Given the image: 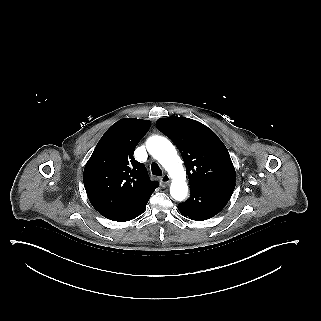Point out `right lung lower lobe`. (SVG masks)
Here are the masks:
<instances>
[{
  "label": "right lung lower lobe",
  "mask_w": 321,
  "mask_h": 321,
  "mask_svg": "<svg viewBox=\"0 0 321 321\" xmlns=\"http://www.w3.org/2000/svg\"><path fill=\"white\" fill-rule=\"evenodd\" d=\"M148 200L144 201L142 204H140L136 208H134V209H132V210L120 215V216L114 217L110 220L124 222V221L132 220V219L138 217L140 214H142L144 212Z\"/></svg>",
  "instance_id": "obj_1"
}]
</instances>
